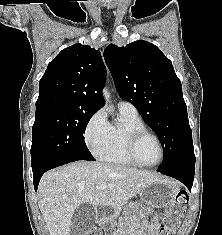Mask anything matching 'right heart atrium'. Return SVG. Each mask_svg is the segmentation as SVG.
Segmentation results:
<instances>
[{"mask_svg": "<svg viewBox=\"0 0 222 235\" xmlns=\"http://www.w3.org/2000/svg\"><path fill=\"white\" fill-rule=\"evenodd\" d=\"M109 123L103 110L96 111L86 124L84 140L94 155H98L104 147L108 136Z\"/></svg>", "mask_w": 222, "mask_h": 235, "instance_id": "right-heart-atrium-1", "label": "right heart atrium"}]
</instances>
